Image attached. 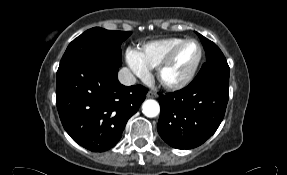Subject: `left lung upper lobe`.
I'll use <instances>...</instances> for the list:
<instances>
[{"instance_id":"1","label":"left lung upper lobe","mask_w":287,"mask_h":175,"mask_svg":"<svg viewBox=\"0 0 287 175\" xmlns=\"http://www.w3.org/2000/svg\"><path fill=\"white\" fill-rule=\"evenodd\" d=\"M202 44L204 46L207 60L203 64L198 75L192 81V83L197 84L208 80H223L229 82V66L225 59V56L218 48V46L212 41L208 40L201 34H198Z\"/></svg>"}]
</instances>
